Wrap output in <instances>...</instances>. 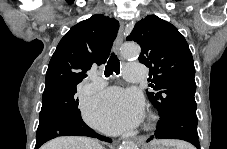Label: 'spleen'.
Segmentation results:
<instances>
[{
	"label": "spleen",
	"mask_w": 227,
	"mask_h": 149,
	"mask_svg": "<svg viewBox=\"0 0 227 149\" xmlns=\"http://www.w3.org/2000/svg\"><path fill=\"white\" fill-rule=\"evenodd\" d=\"M154 143H162L164 145H170V146L174 147V149H191L190 145H188L185 142H181V141L163 140V141H154Z\"/></svg>",
	"instance_id": "1"
}]
</instances>
